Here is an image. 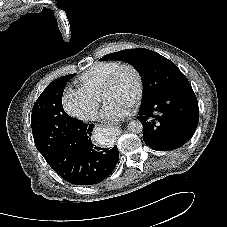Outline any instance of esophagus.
<instances>
[{
	"instance_id": "34e87169",
	"label": "esophagus",
	"mask_w": 227,
	"mask_h": 227,
	"mask_svg": "<svg viewBox=\"0 0 227 227\" xmlns=\"http://www.w3.org/2000/svg\"><path fill=\"white\" fill-rule=\"evenodd\" d=\"M110 129H112V130H118L119 128L117 127V126H110Z\"/></svg>"
}]
</instances>
